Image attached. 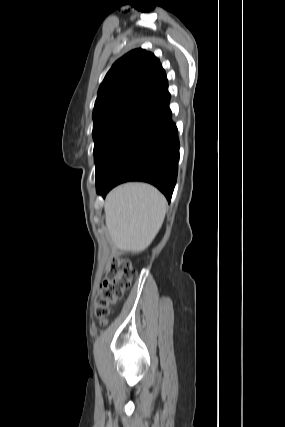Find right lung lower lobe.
Wrapping results in <instances>:
<instances>
[{
    "label": "right lung lower lobe",
    "instance_id": "obj_1",
    "mask_svg": "<svg viewBox=\"0 0 285 427\" xmlns=\"http://www.w3.org/2000/svg\"><path fill=\"white\" fill-rule=\"evenodd\" d=\"M170 94L147 109L124 138L104 170L96 176V190L103 197L122 182L144 181L167 198L176 184L179 140L171 120Z\"/></svg>",
    "mask_w": 285,
    "mask_h": 427
}]
</instances>
